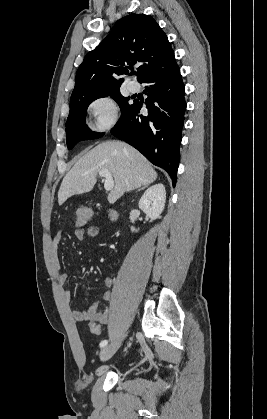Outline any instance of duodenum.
I'll use <instances>...</instances> for the list:
<instances>
[{
    "label": "duodenum",
    "mask_w": 267,
    "mask_h": 419,
    "mask_svg": "<svg viewBox=\"0 0 267 419\" xmlns=\"http://www.w3.org/2000/svg\"><path fill=\"white\" fill-rule=\"evenodd\" d=\"M108 216L111 221H115L117 219V213L114 210H109Z\"/></svg>",
    "instance_id": "duodenum-1"
}]
</instances>
